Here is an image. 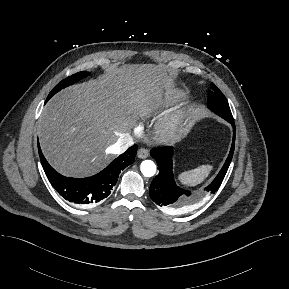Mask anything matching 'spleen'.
I'll use <instances>...</instances> for the list:
<instances>
[{
    "label": "spleen",
    "mask_w": 289,
    "mask_h": 289,
    "mask_svg": "<svg viewBox=\"0 0 289 289\" xmlns=\"http://www.w3.org/2000/svg\"><path fill=\"white\" fill-rule=\"evenodd\" d=\"M213 166L202 165L198 168L181 173L178 180L181 184L186 186H196L200 184L210 174Z\"/></svg>",
    "instance_id": "3e777b00"
}]
</instances>
